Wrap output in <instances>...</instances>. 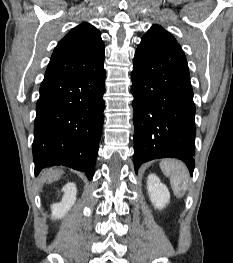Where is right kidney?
Segmentation results:
<instances>
[{
	"instance_id": "obj_1",
	"label": "right kidney",
	"mask_w": 233,
	"mask_h": 263,
	"mask_svg": "<svg viewBox=\"0 0 233 263\" xmlns=\"http://www.w3.org/2000/svg\"><path fill=\"white\" fill-rule=\"evenodd\" d=\"M62 191L64 192V195L61 202L55 203L51 206L53 219L63 218L76 201L77 188L74 183H67L62 188Z\"/></svg>"
}]
</instances>
